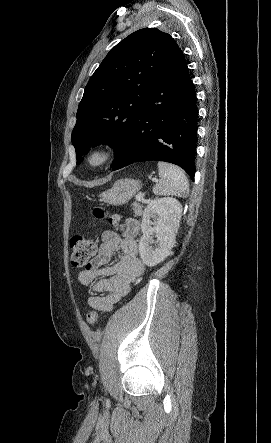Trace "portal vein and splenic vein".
<instances>
[{
    "label": "portal vein and splenic vein",
    "instance_id": "1",
    "mask_svg": "<svg viewBox=\"0 0 271 443\" xmlns=\"http://www.w3.org/2000/svg\"><path fill=\"white\" fill-rule=\"evenodd\" d=\"M152 180H154V182H158L157 178H152ZM145 194H146V191L144 189L137 191V193H136L137 202H142V200L145 197Z\"/></svg>",
    "mask_w": 271,
    "mask_h": 443
}]
</instances>
